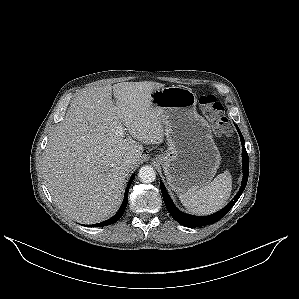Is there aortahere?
I'll use <instances>...</instances> for the list:
<instances>
[{
  "instance_id": "obj_1",
  "label": "aorta",
  "mask_w": 299,
  "mask_h": 299,
  "mask_svg": "<svg viewBox=\"0 0 299 299\" xmlns=\"http://www.w3.org/2000/svg\"><path fill=\"white\" fill-rule=\"evenodd\" d=\"M138 176L141 182L151 183L156 179V172L153 167L145 165L140 168Z\"/></svg>"
}]
</instances>
